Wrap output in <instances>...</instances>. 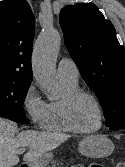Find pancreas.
Here are the masks:
<instances>
[{
    "mask_svg": "<svg viewBox=\"0 0 125 167\" xmlns=\"http://www.w3.org/2000/svg\"><path fill=\"white\" fill-rule=\"evenodd\" d=\"M59 164H62V163H59V162L53 161V162H52V166H51V167H56V166H58V167H59Z\"/></svg>",
    "mask_w": 125,
    "mask_h": 167,
    "instance_id": "1",
    "label": "pancreas"
}]
</instances>
